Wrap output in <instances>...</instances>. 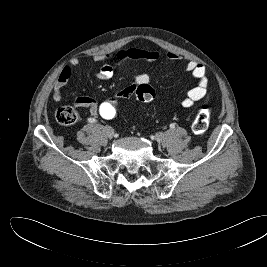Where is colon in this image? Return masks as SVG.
<instances>
[{
  "label": "colon",
  "mask_w": 267,
  "mask_h": 267,
  "mask_svg": "<svg viewBox=\"0 0 267 267\" xmlns=\"http://www.w3.org/2000/svg\"><path fill=\"white\" fill-rule=\"evenodd\" d=\"M134 94L137 100L142 103H148L155 97V91L149 84L138 85ZM122 101L116 93L106 97L98 104L97 114L105 120L116 118L121 110ZM55 118L62 125H72L77 121L78 114L74 108L63 106L56 111ZM209 123L210 108L207 104H203L198 109L192 123V130L195 134H203L207 131Z\"/></svg>",
  "instance_id": "5ec220e1"
}]
</instances>
